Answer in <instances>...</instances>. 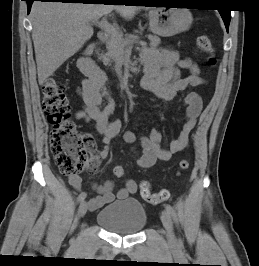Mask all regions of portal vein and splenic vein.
<instances>
[{
    "mask_svg": "<svg viewBox=\"0 0 259 266\" xmlns=\"http://www.w3.org/2000/svg\"><path fill=\"white\" fill-rule=\"evenodd\" d=\"M92 23H94L95 25H98V27H100L101 29H103L104 31H106L111 36H114V37L115 36H119L118 30L113 25H111L110 23H108V21L106 20L105 17H103L101 20L95 19V20L92 21ZM139 44L142 47H146L147 46V43L146 42H143V41H140Z\"/></svg>",
    "mask_w": 259,
    "mask_h": 266,
    "instance_id": "1",
    "label": "portal vein and splenic vein"
}]
</instances>
